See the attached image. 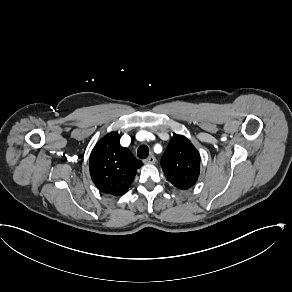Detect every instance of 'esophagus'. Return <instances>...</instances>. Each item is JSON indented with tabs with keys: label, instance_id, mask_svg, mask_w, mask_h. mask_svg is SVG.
<instances>
[{
	"label": "esophagus",
	"instance_id": "34e87169",
	"mask_svg": "<svg viewBox=\"0 0 292 292\" xmlns=\"http://www.w3.org/2000/svg\"><path fill=\"white\" fill-rule=\"evenodd\" d=\"M144 164H154L156 162V158L154 156H150L147 159L143 160Z\"/></svg>",
	"mask_w": 292,
	"mask_h": 292
}]
</instances>
